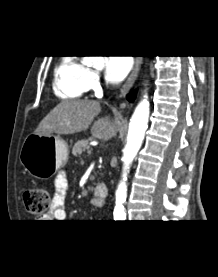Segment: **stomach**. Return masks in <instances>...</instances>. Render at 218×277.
<instances>
[{"label": "stomach", "instance_id": "0dacf381", "mask_svg": "<svg viewBox=\"0 0 218 277\" xmlns=\"http://www.w3.org/2000/svg\"><path fill=\"white\" fill-rule=\"evenodd\" d=\"M68 145L59 136L28 135L21 147L20 162L37 179H47L68 160Z\"/></svg>", "mask_w": 218, "mask_h": 277}]
</instances>
